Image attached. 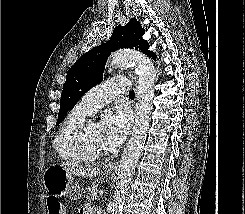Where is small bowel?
<instances>
[{"label": "small bowel", "mask_w": 245, "mask_h": 214, "mask_svg": "<svg viewBox=\"0 0 245 214\" xmlns=\"http://www.w3.org/2000/svg\"><path fill=\"white\" fill-rule=\"evenodd\" d=\"M78 214H103L100 210L94 209L91 205L82 206Z\"/></svg>", "instance_id": "small-bowel-1"}]
</instances>
